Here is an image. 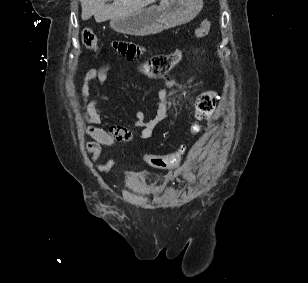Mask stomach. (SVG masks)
<instances>
[{"label": "stomach", "instance_id": "1", "mask_svg": "<svg viewBox=\"0 0 308 283\" xmlns=\"http://www.w3.org/2000/svg\"><path fill=\"white\" fill-rule=\"evenodd\" d=\"M203 7L202 0H161L160 5L144 7L137 12L110 20L119 33L147 36L160 33L194 19Z\"/></svg>", "mask_w": 308, "mask_h": 283}]
</instances>
